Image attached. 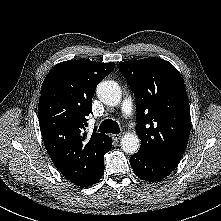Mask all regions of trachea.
<instances>
[{
  "instance_id": "obj_1",
  "label": "trachea",
  "mask_w": 221,
  "mask_h": 221,
  "mask_svg": "<svg viewBox=\"0 0 221 221\" xmlns=\"http://www.w3.org/2000/svg\"><path fill=\"white\" fill-rule=\"evenodd\" d=\"M99 132L118 134L120 133V128L117 122L112 119H106L100 124Z\"/></svg>"
}]
</instances>
